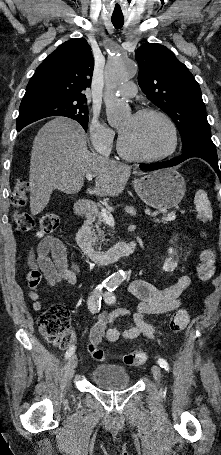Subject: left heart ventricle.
Returning a JSON list of instances; mask_svg holds the SVG:
<instances>
[{
	"label": "left heart ventricle",
	"mask_w": 221,
	"mask_h": 455,
	"mask_svg": "<svg viewBox=\"0 0 221 455\" xmlns=\"http://www.w3.org/2000/svg\"><path fill=\"white\" fill-rule=\"evenodd\" d=\"M119 131L125 149L133 154H159L171 144L168 127L156 115L128 116L120 123Z\"/></svg>",
	"instance_id": "b2bd125f"
}]
</instances>
